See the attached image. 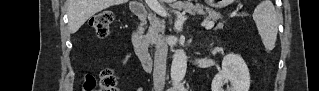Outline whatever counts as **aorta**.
Returning a JSON list of instances; mask_svg holds the SVG:
<instances>
[{
	"label": "aorta",
	"instance_id": "aorta-1",
	"mask_svg": "<svg viewBox=\"0 0 319 91\" xmlns=\"http://www.w3.org/2000/svg\"><path fill=\"white\" fill-rule=\"evenodd\" d=\"M187 70V56L183 50H177L173 55L171 65V80L178 85L185 77Z\"/></svg>",
	"mask_w": 319,
	"mask_h": 91
}]
</instances>
